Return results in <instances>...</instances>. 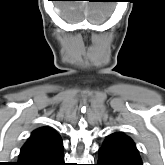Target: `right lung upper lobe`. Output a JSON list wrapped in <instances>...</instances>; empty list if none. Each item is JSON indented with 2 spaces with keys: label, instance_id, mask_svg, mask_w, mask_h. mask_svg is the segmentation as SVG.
I'll list each match as a JSON object with an SVG mask.
<instances>
[{
  "label": "right lung upper lobe",
  "instance_id": "1",
  "mask_svg": "<svg viewBox=\"0 0 165 165\" xmlns=\"http://www.w3.org/2000/svg\"><path fill=\"white\" fill-rule=\"evenodd\" d=\"M56 135H58V133L48 127H42L35 130L31 134L30 138L25 143V145L22 147L20 155H19V161H21L22 158H24L28 154L33 153L35 151L34 149L35 145Z\"/></svg>",
  "mask_w": 165,
  "mask_h": 165
}]
</instances>
